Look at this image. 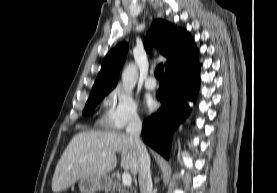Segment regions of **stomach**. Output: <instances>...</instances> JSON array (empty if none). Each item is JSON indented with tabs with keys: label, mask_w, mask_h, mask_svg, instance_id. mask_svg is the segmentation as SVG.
I'll list each match as a JSON object with an SVG mask.
<instances>
[{
	"label": "stomach",
	"mask_w": 277,
	"mask_h": 193,
	"mask_svg": "<svg viewBox=\"0 0 277 193\" xmlns=\"http://www.w3.org/2000/svg\"><path fill=\"white\" fill-rule=\"evenodd\" d=\"M111 178L106 174L102 176L83 177L79 181L81 193H96L98 191L109 190Z\"/></svg>",
	"instance_id": "stomach-1"
}]
</instances>
